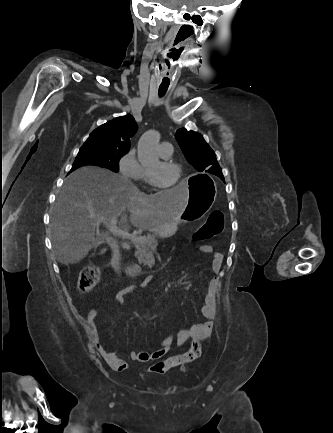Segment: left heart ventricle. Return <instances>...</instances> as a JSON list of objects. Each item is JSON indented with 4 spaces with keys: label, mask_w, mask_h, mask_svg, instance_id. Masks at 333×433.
I'll return each instance as SVG.
<instances>
[{
    "label": "left heart ventricle",
    "mask_w": 333,
    "mask_h": 433,
    "mask_svg": "<svg viewBox=\"0 0 333 433\" xmlns=\"http://www.w3.org/2000/svg\"><path fill=\"white\" fill-rule=\"evenodd\" d=\"M155 181L162 186H170L176 179L177 172L174 168L165 166L161 161L147 167Z\"/></svg>",
    "instance_id": "obj_1"
}]
</instances>
